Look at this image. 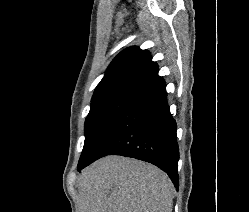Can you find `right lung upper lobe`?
I'll return each mask as SVG.
<instances>
[{
  "instance_id": "right-lung-upper-lobe-1",
  "label": "right lung upper lobe",
  "mask_w": 249,
  "mask_h": 212,
  "mask_svg": "<svg viewBox=\"0 0 249 212\" xmlns=\"http://www.w3.org/2000/svg\"><path fill=\"white\" fill-rule=\"evenodd\" d=\"M165 84L158 75V65L147 50L130 47L111 62L92 99L111 93H132L137 96Z\"/></svg>"
}]
</instances>
